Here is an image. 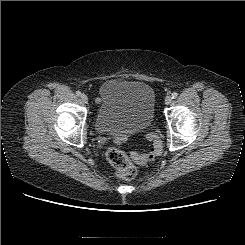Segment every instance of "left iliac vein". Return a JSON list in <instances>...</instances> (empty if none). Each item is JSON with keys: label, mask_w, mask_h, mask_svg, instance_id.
<instances>
[{"label": "left iliac vein", "mask_w": 245, "mask_h": 245, "mask_svg": "<svg viewBox=\"0 0 245 245\" xmlns=\"http://www.w3.org/2000/svg\"><path fill=\"white\" fill-rule=\"evenodd\" d=\"M172 101V97L171 96H166L165 98V104L169 105Z\"/></svg>", "instance_id": "1"}]
</instances>
